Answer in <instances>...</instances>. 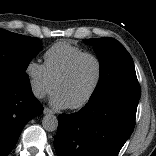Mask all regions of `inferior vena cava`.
Wrapping results in <instances>:
<instances>
[{
    "label": "inferior vena cava",
    "instance_id": "1",
    "mask_svg": "<svg viewBox=\"0 0 156 156\" xmlns=\"http://www.w3.org/2000/svg\"><path fill=\"white\" fill-rule=\"evenodd\" d=\"M33 93L38 98H43L45 96V91L39 87H34Z\"/></svg>",
    "mask_w": 156,
    "mask_h": 156
}]
</instances>
